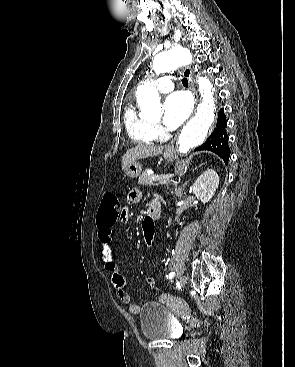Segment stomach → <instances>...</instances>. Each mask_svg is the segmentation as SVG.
Listing matches in <instances>:
<instances>
[{"label": "stomach", "mask_w": 295, "mask_h": 367, "mask_svg": "<svg viewBox=\"0 0 295 367\" xmlns=\"http://www.w3.org/2000/svg\"><path fill=\"white\" fill-rule=\"evenodd\" d=\"M164 157L173 160L175 158L174 153L165 152ZM142 171V167L138 162H133L125 168V174L130 178H137Z\"/></svg>", "instance_id": "stomach-1"}]
</instances>
